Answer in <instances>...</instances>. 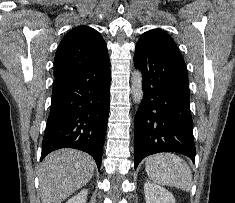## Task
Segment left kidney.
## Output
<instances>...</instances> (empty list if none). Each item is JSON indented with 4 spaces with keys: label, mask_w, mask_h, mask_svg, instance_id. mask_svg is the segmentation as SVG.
<instances>
[{
    "label": "left kidney",
    "mask_w": 235,
    "mask_h": 203,
    "mask_svg": "<svg viewBox=\"0 0 235 203\" xmlns=\"http://www.w3.org/2000/svg\"><path fill=\"white\" fill-rule=\"evenodd\" d=\"M146 203H175L171 192L152 182L144 183Z\"/></svg>",
    "instance_id": "left-kidney-1"
}]
</instances>
